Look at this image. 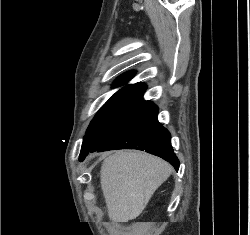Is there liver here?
Wrapping results in <instances>:
<instances>
[{"mask_svg": "<svg viewBox=\"0 0 250 235\" xmlns=\"http://www.w3.org/2000/svg\"><path fill=\"white\" fill-rule=\"evenodd\" d=\"M171 172L167 162L145 152L116 151L105 157L100 180L110 220L137 218Z\"/></svg>", "mask_w": 250, "mask_h": 235, "instance_id": "6515ba94", "label": "liver"}]
</instances>
